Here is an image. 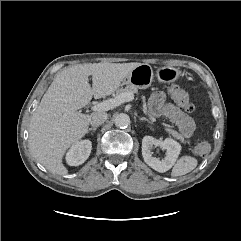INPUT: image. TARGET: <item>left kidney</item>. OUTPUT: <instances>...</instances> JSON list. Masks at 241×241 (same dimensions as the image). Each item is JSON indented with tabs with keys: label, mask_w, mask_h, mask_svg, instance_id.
Wrapping results in <instances>:
<instances>
[{
	"label": "left kidney",
	"mask_w": 241,
	"mask_h": 241,
	"mask_svg": "<svg viewBox=\"0 0 241 241\" xmlns=\"http://www.w3.org/2000/svg\"><path fill=\"white\" fill-rule=\"evenodd\" d=\"M157 146L165 150V156L161 160L153 156L152 149ZM180 151V144L171 138L162 141L152 136H145L142 139V156L145 163L160 173L168 171L174 165Z\"/></svg>",
	"instance_id": "1"
}]
</instances>
